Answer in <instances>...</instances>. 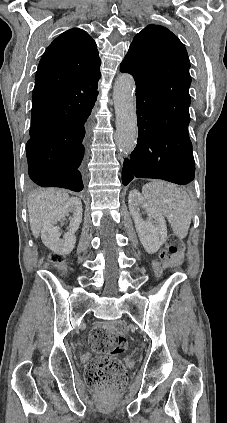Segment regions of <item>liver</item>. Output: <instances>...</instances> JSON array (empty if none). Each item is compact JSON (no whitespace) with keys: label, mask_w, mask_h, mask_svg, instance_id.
<instances>
[{"label":"liver","mask_w":227,"mask_h":423,"mask_svg":"<svg viewBox=\"0 0 227 423\" xmlns=\"http://www.w3.org/2000/svg\"><path fill=\"white\" fill-rule=\"evenodd\" d=\"M67 198L66 192L56 190V188L42 190V192H36V194L29 196L27 202L29 223L34 237H39L43 221L48 213L57 208V206H62Z\"/></svg>","instance_id":"liver-1"}]
</instances>
